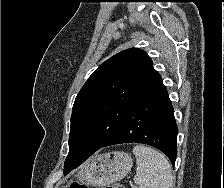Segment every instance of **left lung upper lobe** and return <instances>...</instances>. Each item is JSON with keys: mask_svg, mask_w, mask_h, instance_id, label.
I'll use <instances>...</instances> for the list:
<instances>
[{"mask_svg": "<svg viewBox=\"0 0 224 188\" xmlns=\"http://www.w3.org/2000/svg\"><path fill=\"white\" fill-rule=\"evenodd\" d=\"M160 80L150 57L139 48L121 51L101 64L75 99L64 170L97 151L132 103Z\"/></svg>", "mask_w": 224, "mask_h": 188, "instance_id": "5c2ea615", "label": "left lung upper lobe"}]
</instances>
